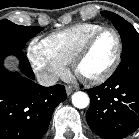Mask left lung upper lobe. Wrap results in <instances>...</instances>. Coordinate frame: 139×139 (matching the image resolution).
Instances as JSON below:
<instances>
[{
  "instance_id": "5c2ea615",
  "label": "left lung upper lobe",
  "mask_w": 139,
  "mask_h": 139,
  "mask_svg": "<svg viewBox=\"0 0 139 139\" xmlns=\"http://www.w3.org/2000/svg\"><path fill=\"white\" fill-rule=\"evenodd\" d=\"M101 14L108 18L119 31L123 43V55L139 48V33L130 23L109 11H103Z\"/></svg>"
}]
</instances>
